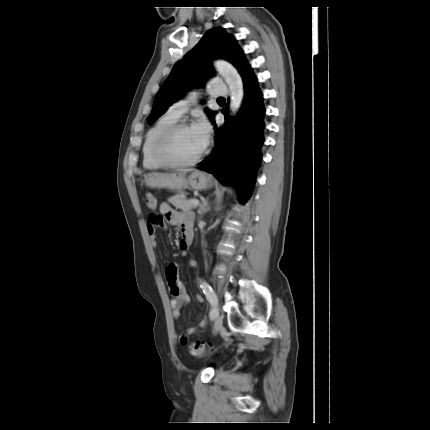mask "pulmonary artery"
Masks as SVG:
<instances>
[{
    "instance_id": "1",
    "label": "pulmonary artery",
    "mask_w": 430,
    "mask_h": 430,
    "mask_svg": "<svg viewBox=\"0 0 430 430\" xmlns=\"http://www.w3.org/2000/svg\"><path fill=\"white\" fill-rule=\"evenodd\" d=\"M209 94L212 96H226L228 94V88L222 81L212 80L209 84ZM198 96L197 91H191L187 97L182 98L175 103H173L169 112L174 114L177 117L182 116L185 112L189 110L191 105L196 101Z\"/></svg>"
}]
</instances>
